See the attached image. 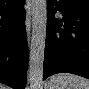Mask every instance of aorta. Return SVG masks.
I'll return each mask as SVG.
<instances>
[{"label": "aorta", "instance_id": "obj_1", "mask_svg": "<svg viewBox=\"0 0 89 89\" xmlns=\"http://www.w3.org/2000/svg\"><path fill=\"white\" fill-rule=\"evenodd\" d=\"M32 23L29 57L30 89H43V64L47 27L46 0H32Z\"/></svg>", "mask_w": 89, "mask_h": 89}]
</instances>
